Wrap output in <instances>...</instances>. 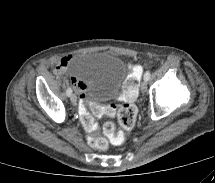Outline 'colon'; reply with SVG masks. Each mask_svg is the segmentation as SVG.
Listing matches in <instances>:
<instances>
[{"label":"colon","mask_w":215,"mask_h":183,"mask_svg":"<svg viewBox=\"0 0 215 183\" xmlns=\"http://www.w3.org/2000/svg\"><path fill=\"white\" fill-rule=\"evenodd\" d=\"M137 86L136 77L128 79L124 85V103L117 106H104L98 103H91V113L87 110V99L85 96L81 97L80 116L83 125L91 132L88 137L90 146L99 150H105L110 143L120 145L124 142V135L116 131L115 125L112 122H106L103 126V135H98L93 115L111 117L116 113L119 123L123 128H132L137 116L136 108L133 105V101L137 97Z\"/></svg>","instance_id":"1"}]
</instances>
